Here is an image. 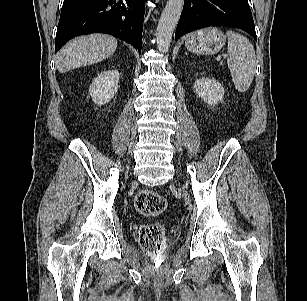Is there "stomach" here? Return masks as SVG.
Wrapping results in <instances>:
<instances>
[{
	"label": "stomach",
	"instance_id": "1",
	"mask_svg": "<svg viewBox=\"0 0 307 301\" xmlns=\"http://www.w3.org/2000/svg\"><path fill=\"white\" fill-rule=\"evenodd\" d=\"M226 41L221 30L209 27L190 33L186 37V48L198 55L215 54L222 49Z\"/></svg>",
	"mask_w": 307,
	"mask_h": 301
}]
</instances>
